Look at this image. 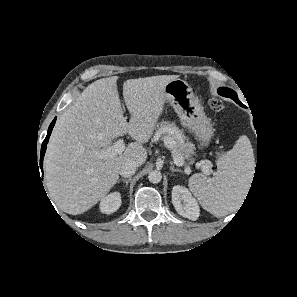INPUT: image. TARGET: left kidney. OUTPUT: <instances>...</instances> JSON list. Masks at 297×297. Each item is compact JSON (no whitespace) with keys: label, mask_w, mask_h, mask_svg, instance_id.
<instances>
[{"label":"left kidney","mask_w":297,"mask_h":297,"mask_svg":"<svg viewBox=\"0 0 297 297\" xmlns=\"http://www.w3.org/2000/svg\"><path fill=\"white\" fill-rule=\"evenodd\" d=\"M172 203L181 216L190 220L198 219L199 205L186 187L177 185L172 188Z\"/></svg>","instance_id":"left-kidney-1"}]
</instances>
